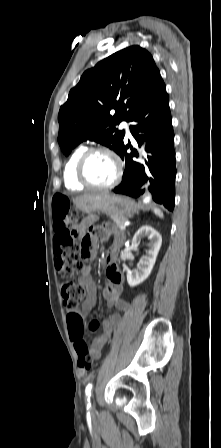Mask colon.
Returning a JSON list of instances; mask_svg holds the SVG:
<instances>
[{"instance_id": "obj_1", "label": "colon", "mask_w": 221, "mask_h": 448, "mask_svg": "<svg viewBox=\"0 0 221 448\" xmlns=\"http://www.w3.org/2000/svg\"><path fill=\"white\" fill-rule=\"evenodd\" d=\"M52 214L57 233L54 237L55 266L58 273L64 278L62 283V296L66 308L74 310L85 295V288L76 284L72 277L85 267L89 256L90 238L83 236L76 228L79 226V213L71 209L70 199L65 195H56L53 198ZM68 328L71 339L75 343L78 356L77 364L81 369L89 370L92 359L87 344L83 341L84 322L81 317L70 314ZM98 328V322L91 320L88 331L93 333Z\"/></svg>"}]
</instances>
